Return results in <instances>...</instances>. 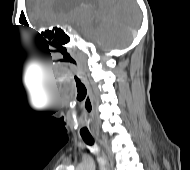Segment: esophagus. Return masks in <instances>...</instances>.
Listing matches in <instances>:
<instances>
[{
	"label": "esophagus",
	"mask_w": 190,
	"mask_h": 170,
	"mask_svg": "<svg viewBox=\"0 0 190 170\" xmlns=\"http://www.w3.org/2000/svg\"><path fill=\"white\" fill-rule=\"evenodd\" d=\"M100 143L103 145L102 141H100ZM103 157H104V160H105V163L107 166V170H114V158L111 155V153L109 152V150L106 148H105Z\"/></svg>",
	"instance_id": "esophagus-1"
}]
</instances>
